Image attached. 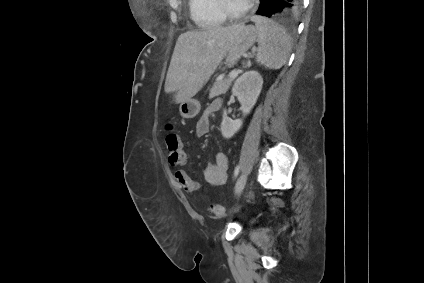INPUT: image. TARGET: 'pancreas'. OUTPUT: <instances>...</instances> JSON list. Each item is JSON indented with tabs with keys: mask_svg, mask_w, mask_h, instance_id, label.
I'll list each match as a JSON object with an SVG mask.
<instances>
[{
	"mask_svg": "<svg viewBox=\"0 0 424 283\" xmlns=\"http://www.w3.org/2000/svg\"><path fill=\"white\" fill-rule=\"evenodd\" d=\"M232 81H233V78H230V77L225 79L218 78L216 82L213 84L212 88L210 89L209 98L211 99L226 93Z\"/></svg>",
	"mask_w": 424,
	"mask_h": 283,
	"instance_id": "obj_1",
	"label": "pancreas"
}]
</instances>
